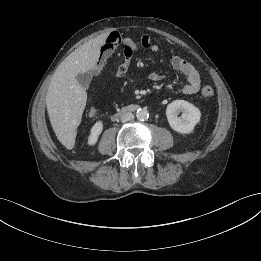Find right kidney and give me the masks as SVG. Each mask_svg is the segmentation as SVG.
Here are the masks:
<instances>
[{
  "instance_id": "right-kidney-1",
  "label": "right kidney",
  "mask_w": 261,
  "mask_h": 261,
  "mask_svg": "<svg viewBox=\"0 0 261 261\" xmlns=\"http://www.w3.org/2000/svg\"><path fill=\"white\" fill-rule=\"evenodd\" d=\"M103 130V122L101 120L97 121L91 128L90 135L88 137V144L95 145L97 143L98 137Z\"/></svg>"
}]
</instances>
